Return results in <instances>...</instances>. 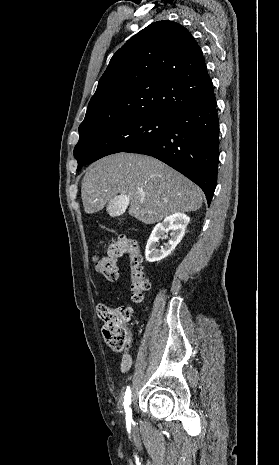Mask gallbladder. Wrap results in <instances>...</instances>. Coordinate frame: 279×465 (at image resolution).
<instances>
[{"instance_id": "obj_1", "label": "gallbladder", "mask_w": 279, "mask_h": 465, "mask_svg": "<svg viewBox=\"0 0 279 465\" xmlns=\"http://www.w3.org/2000/svg\"><path fill=\"white\" fill-rule=\"evenodd\" d=\"M128 205V201L125 196H116L109 201L108 213L112 217L122 215Z\"/></svg>"}]
</instances>
